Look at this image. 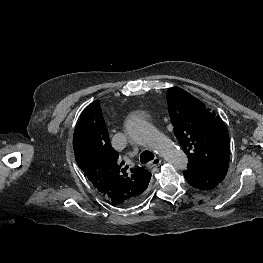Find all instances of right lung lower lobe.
<instances>
[{
	"mask_svg": "<svg viewBox=\"0 0 263 263\" xmlns=\"http://www.w3.org/2000/svg\"><path fill=\"white\" fill-rule=\"evenodd\" d=\"M141 197H142V194H141L139 197H137V198H135L134 200H132V201L129 203V205L136 203Z\"/></svg>",
	"mask_w": 263,
	"mask_h": 263,
	"instance_id": "right-lung-lower-lobe-1",
	"label": "right lung lower lobe"
}]
</instances>
